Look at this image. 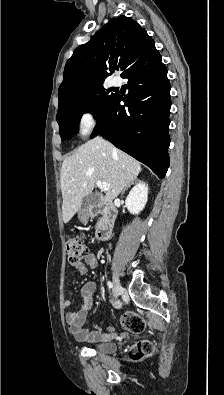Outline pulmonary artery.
I'll use <instances>...</instances> for the list:
<instances>
[{"mask_svg":"<svg viewBox=\"0 0 224 395\" xmlns=\"http://www.w3.org/2000/svg\"><path fill=\"white\" fill-rule=\"evenodd\" d=\"M112 85H113V86H116V85H117V83H116V82H113V83H112Z\"/></svg>","mask_w":224,"mask_h":395,"instance_id":"obj_1","label":"pulmonary artery"}]
</instances>
